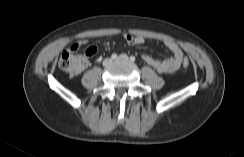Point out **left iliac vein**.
Returning a JSON list of instances; mask_svg holds the SVG:
<instances>
[{"label":"left iliac vein","instance_id":"1","mask_svg":"<svg viewBox=\"0 0 244 157\" xmlns=\"http://www.w3.org/2000/svg\"><path fill=\"white\" fill-rule=\"evenodd\" d=\"M129 58L126 54H121L118 58L117 61H128Z\"/></svg>","mask_w":244,"mask_h":157}]
</instances>
